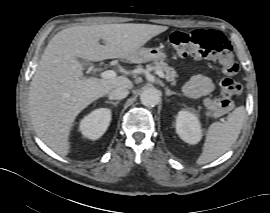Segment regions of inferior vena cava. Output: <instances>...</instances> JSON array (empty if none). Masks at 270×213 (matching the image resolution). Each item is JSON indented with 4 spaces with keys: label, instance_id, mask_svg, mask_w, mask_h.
<instances>
[{
    "label": "inferior vena cava",
    "instance_id": "602c4592",
    "mask_svg": "<svg viewBox=\"0 0 270 213\" xmlns=\"http://www.w3.org/2000/svg\"><path fill=\"white\" fill-rule=\"evenodd\" d=\"M128 94H129L128 89L124 87H119V88H115L111 90L108 95H109V99L120 100L127 97Z\"/></svg>",
    "mask_w": 270,
    "mask_h": 213
}]
</instances>
